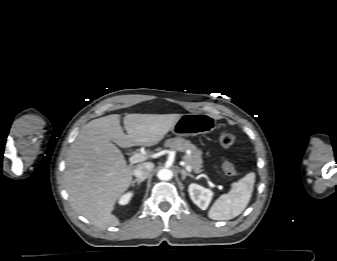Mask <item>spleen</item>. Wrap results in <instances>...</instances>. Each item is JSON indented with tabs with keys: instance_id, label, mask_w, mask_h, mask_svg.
I'll list each match as a JSON object with an SVG mask.
<instances>
[{
	"instance_id": "1",
	"label": "spleen",
	"mask_w": 337,
	"mask_h": 261,
	"mask_svg": "<svg viewBox=\"0 0 337 261\" xmlns=\"http://www.w3.org/2000/svg\"><path fill=\"white\" fill-rule=\"evenodd\" d=\"M255 173L250 172L232 184L227 194H222L211 206L208 216L213 220H230L240 215L247 207L255 183Z\"/></svg>"
}]
</instances>
